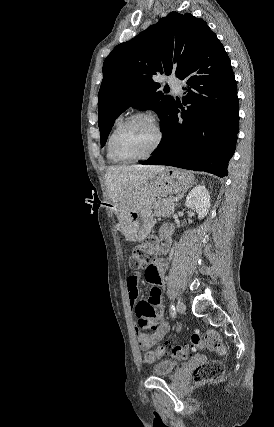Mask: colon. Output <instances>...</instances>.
<instances>
[{
  "instance_id": "1",
  "label": "colon",
  "mask_w": 274,
  "mask_h": 427,
  "mask_svg": "<svg viewBox=\"0 0 274 427\" xmlns=\"http://www.w3.org/2000/svg\"><path fill=\"white\" fill-rule=\"evenodd\" d=\"M159 249L157 238L140 243L127 258V267L131 272L142 270L147 261H154ZM192 345H169L165 347H146L144 363L152 364L155 359H166L167 353L178 360H186L192 350L209 349L218 354H226L227 348L219 334L213 330L197 331L191 335ZM225 375V366L221 361L209 360L200 365L195 371L194 387L201 388L203 383L217 382Z\"/></svg>"
}]
</instances>
